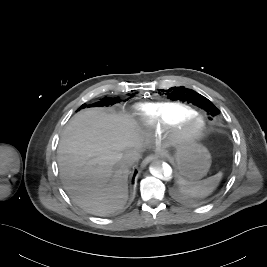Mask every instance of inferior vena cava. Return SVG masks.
<instances>
[{"instance_id": "obj_1", "label": "inferior vena cava", "mask_w": 267, "mask_h": 267, "mask_svg": "<svg viewBox=\"0 0 267 267\" xmlns=\"http://www.w3.org/2000/svg\"><path fill=\"white\" fill-rule=\"evenodd\" d=\"M139 159V154L136 151L128 152L124 155L123 161L128 166H133Z\"/></svg>"}]
</instances>
